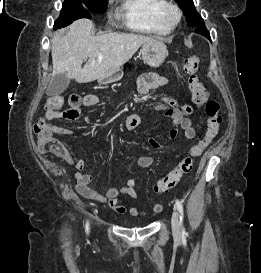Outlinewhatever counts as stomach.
<instances>
[{
	"instance_id": "obj_1",
	"label": "stomach",
	"mask_w": 261,
	"mask_h": 273,
	"mask_svg": "<svg viewBox=\"0 0 261 273\" xmlns=\"http://www.w3.org/2000/svg\"><path fill=\"white\" fill-rule=\"evenodd\" d=\"M140 52L143 61L151 67H159L165 61L168 50L166 45L159 40H151L142 44ZM123 77L121 69L114 72L109 77L99 80L101 83H112L119 81Z\"/></svg>"
}]
</instances>
